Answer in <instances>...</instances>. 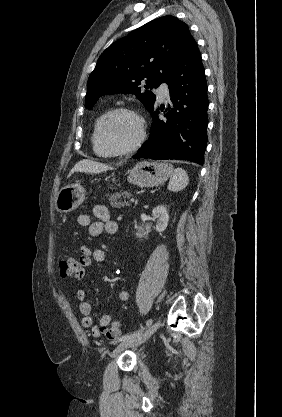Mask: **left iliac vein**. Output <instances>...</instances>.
Returning <instances> with one entry per match:
<instances>
[{"instance_id":"4c4485c4","label":"left iliac vein","mask_w":282,"mask_h":417,"mask_svg":"<svg viewBox=\"0 0 282 417\" xmlns=\"http://www.w3.org/2000/svg\"><path fill=\"white\" fill-rule=\"evenodd\" d=\"M160 326H161V322L157 321L140 335L120 342V344L112 352L111 357H116L120 352L124 351L125 349L129 347H134V346L142 344L143 342L148 340L160 328Z\"/></svg>"}]
</instances>
